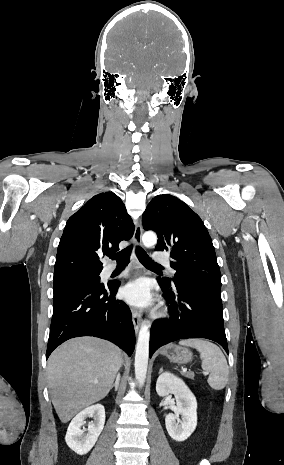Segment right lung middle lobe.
<instances>
[{
    "label": "right lung middle lobe",
    "mask_w": 284,
    "mask_h": 465,
    "mask_svg": "<svg viewBox=\"0 0 284 465\" xmlns=\"http://www.w3.org/2000/svg\"><path fill=\"white\" fill-rule=\"evenodd\" d=\"M86 285H104L100 282L99 274L80 275L71 278L55 280L53 284L54 295L68 288L86 286Z\"/></svg>",
    "instance_id": "dd1d6c3e"
}]
</instances>
